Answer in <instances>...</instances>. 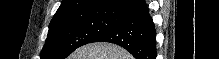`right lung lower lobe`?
Masks as SVG:
<instances>
[{"label": "right lung lower lobe", "mask_w": 219, "mask_h": 59, "mask_svg": "<svg viewBox=\"0 0 219 59\" xmlns=\"http://www.w3.org/2000/svg\"><path fill=\"white\" fill-rule=\"evenodd\" d=\"M124 18L93 42H110L128 50L136 59H156V31L143 0H124L114 6Z\"/></svg>", "instance_id": "1"}]
</instances>
